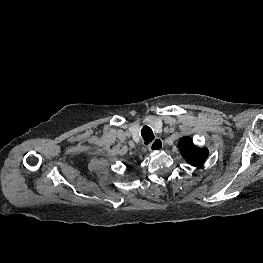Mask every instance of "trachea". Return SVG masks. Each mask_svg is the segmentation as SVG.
<instances>
[{
	"instance_id": "1",
	"label": "trachea",
	"mask_w": 263,
	"mask_h": 263,
	"mask_svg": "<svg viewBox=\"0 0 263 263\" xmlns=\"http://www.w3.org/2000/svg\"><path fill=\"white\" fill-rule=\"evenodd\" d=\"M141 135L144 139V143L148 145L154 140V134L152 129L149 126H144L141 130Z\"/></svg>"
}]
</instances>
